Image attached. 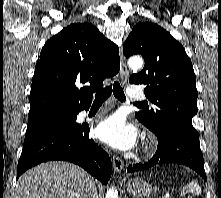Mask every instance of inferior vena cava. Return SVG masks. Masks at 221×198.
Listing matches in <instances>:
<instances>
[{"instance_id":"602c4592","label":"inferior vena cava","mask_w":221,"mask_h":198,"mask_svg":"<svg viewBox=\"0 0 221 198\" xmlns=\"http://www.w3.org/2000/svg\"><path fill=\"white\" fill-rule=\"evenodd\" d=\"M87 198H96V186L94 184L89 186Z\"/></svg>"}]
</instances>
